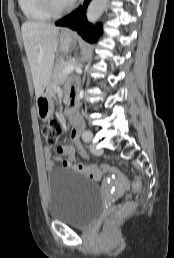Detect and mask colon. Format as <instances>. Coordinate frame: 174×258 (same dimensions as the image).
Instances as JSON below:
<instances>
[{"label":"colon","instance_id":"obj_1","mask_svg":"<svg viewBox=\"0 0 174 258\" xmlns=\"http://www.w3.org/2000/svg\"><path fill=\"white\" fill-rule=\"evenodd\" d=\"M42 136L48 146H54L58 143L62 133L63 124L58 120H51L45 122L41 127ZM142 183L139 179L133 181L131 185V192L136 193L141 189ZM135 207V203L127 201L122 204L115 213L106 221L105 230L111 231L112 228L126 215H128Z\"/></svg>","mask_w":174,"mask_h":258}]
</instances>
